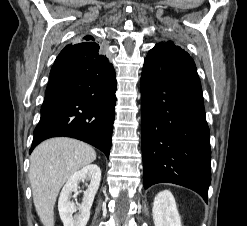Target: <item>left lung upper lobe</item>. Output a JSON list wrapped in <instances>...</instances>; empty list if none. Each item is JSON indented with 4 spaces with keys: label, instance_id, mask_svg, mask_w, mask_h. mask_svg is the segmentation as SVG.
Here are the masks:
<instances>
[{
    "label": "left lung upper lobe",
    "instance_id": "left-lung-upper-lobe-1",
    "mask_svg": "<svg viewBox=\"0 0 247 226\" xmlns=\"http://www.w3.org/2000/svg\"><path fill=\"white\" fill-rule=\"evenodd\" d=\"M159 44H173V43L172 42H160Z\"/></svg>",
    "mask_w": 247,
    "mask_h": 226
}]
</instances>
